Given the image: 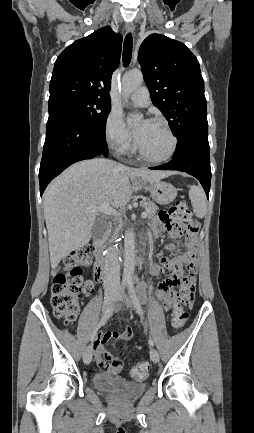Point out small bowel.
<instances>
[{
  "instance_id": "1",
  "label": "small bowel",
  "mask_w": 254,
  "mask_h": 433,
  "mask_svg": "<svg viewBox=\"0 0 254 433\" xmlns=\"http://www.w3.org/2000/svg\"><path fill=\"white\" fill-rule=\"evenodd\" d=\"M151 230L154 236L161 234L164 230L169 231L175 238L182 236V232L179 229L163 224L159 218L153 220ZM181 246L187 247L186 253L174 258L163 256L160 259V264H153L149 269L152 276H158L163 271V267L168 268L172 273L168 279L158 285L156 290V298L166 309L170 308L179 299L193 300L194 297L197 262L193 251V239L188 238L184 242L169 245L167 249L173 250ZM183 266L187 268L186 275L183 274ZM176 286H179L178 293L174 291V287ZM134 336L135 334L130 328H126L122 332L107 331L97 334L94 340L95 361L104 374L116 375L123 368V361L115 357L106 348V343L114 338L119 341H126L134 338Z\"/></svg>"
}]
</instances>
